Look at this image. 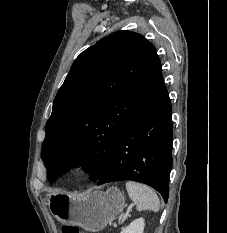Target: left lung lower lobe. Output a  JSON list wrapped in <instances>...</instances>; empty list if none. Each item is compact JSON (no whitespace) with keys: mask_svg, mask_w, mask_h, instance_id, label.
<instances>
[{"mask_svg":"<svg viewBox=\"0 0 227 233\" xmlns=\"http://www.w3.org/2000/svg\"><path fill=\"white\" fill-rule=\"evenodd\" d=\"M171 116V103L164 86L123 130L97 184L133 180L153 187L167 201L172 166Z\"/></svg>","mask_w":227,"mask_h":233,"instance_id":"obj_1","label":"left lung lower lobe"}]
</instances>
